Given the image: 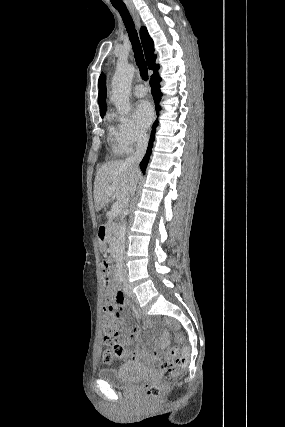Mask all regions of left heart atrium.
<instances>
[{"instance_id":"obj_1","label":"left heart atrium","mask_w":285,"mask_h":427,"mask_svg":"<svg viewBox=\"0 0 285 427\" xmlns=\"http://www.w3.org/2000/svg\"><path fill=\"white\" fill-rule=\"evenodd\" d=\"M153 117L154 111L148 101L142 100L136 104L134 109V118L141 128L146 129L152 122Z\"/></svg>"}]
</instances>
